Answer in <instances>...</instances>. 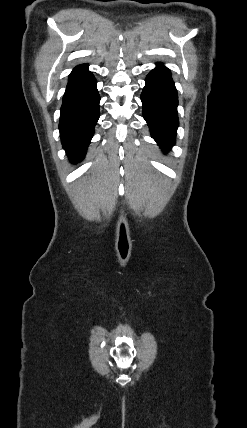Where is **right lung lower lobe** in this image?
<instances>
[{"label": "right lung lower lobe", "mask_w": 247, "mask_h": 428, "mask_svg": "<svg viewBox=\"0 0 247 428\" xmlns=\"http://www.w3.org/2000/svg\"><path fill=\"white\" fill-rule=\"evenodd\" d=\"M99 102L96 80L88 65L75 67L69 75L59 122L62 145L71 162L85 156L100 116Z\"/></svg>", "instance_id": "obj_1"}]
</instances>
